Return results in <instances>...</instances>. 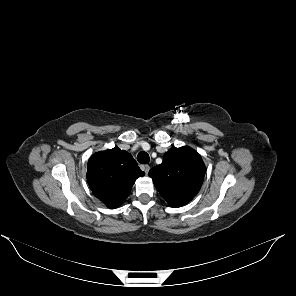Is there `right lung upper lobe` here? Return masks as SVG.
I'll return each instance as SVG.
<instances>
[{
	"mask_svg": "<svg viewBox=\"0 0 296 296\" xmlns=\"http://www.w3.org/2000/svg\"><path fill=\"white\" fill-rule=\"evenodd\" d=\"M144 175L132 155L116 146L91 156L86 177L93 194L114 209L128 197L136 179Z\"/></svg>",
	"mask_w": 296,
	"mask_h": 296,
	"instance_id": "obj_1",
	"label": "right lung upper lobe"
}]
</instances>
